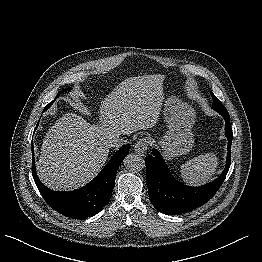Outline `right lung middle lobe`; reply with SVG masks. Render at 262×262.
<instances>
[{
	"mask_svg": "<svg viewBox=\"0 0 262 262\" xmlns=\"http://www.w3.org/2000/svg\"><path fill=\"white\" fill-rule=\"evenodd\" d=\"M69 90V89H68ZM64 91H66V89H64L63 91H61L60 93H62V92H64ZM51 103H53V102H51Z\"/></svg>",
	"mask_w": 262,
	"mask_h": 262,
	"instance_id": "dd1d6c3e",
	"label": "right lung middle lobe"
}]
</instances>
